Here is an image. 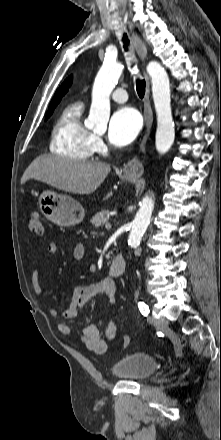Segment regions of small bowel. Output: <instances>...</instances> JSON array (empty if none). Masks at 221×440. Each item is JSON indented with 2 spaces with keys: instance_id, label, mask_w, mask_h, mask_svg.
I'll return each instance as SVG.
<instances>
[{
  "instance_id": "1",
  "label": "small bowel",
  "mask_w": 221,
  "mask_h": 440,
  "mask_svg": "<svg viewBox=\"0 0 221 440\" xmlns=\"http://www.w3.org/2000/svg\"><path fill=\"white\" fill-rule=\"evenodd\" d=\"M47 251L50 255H56L58 253L56 243H49L47 245ZM84 254V246L81 243H78L73 250V259L75 261H81L84 258ZM32 275L34 290L36 293H41V270L39 268H35ZM102 294L108 298L111 304L115 303L116 283L112 278L105 277L98 282L75 287L71 301L63 312V317L65 319L75 318L93 297ZM49 314L52 318L59 317V311L56 308H51ZM57 328L61 334L72 336L86 349L98 354H102L107 351L109 343L115 339L117 332L116 325L112 320L108 322L103 337H101L98 329L93 324L86 325L81 335H75L71 327L66 322H58Z\"/></svg>"
}]
</instances>
